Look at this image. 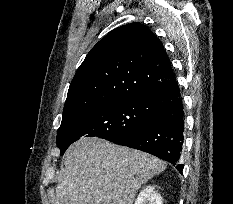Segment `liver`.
<instances>
[{
  "label": "liver",
  "mask_w": 233,
  "mask_h": 204,
  "mask_svg": "<svg viewBox=\"0 0 233 204\" xmlns=\"http://www.w3.org/2000/svg\"><path fill=\"white\" fill-rule=\"evenodd\" d=\"M54 204H133L137 191L166 163L148 153L84 137L65 153Z\"/></svg>",
  "instance_id": "liver-1"
}]
</instances>
